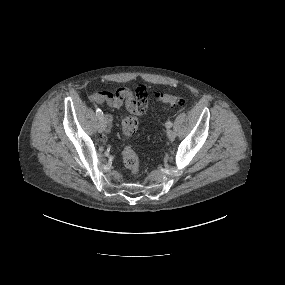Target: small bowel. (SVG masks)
<instances>
[{"instance_id":"1","label":"small bowel","mask_w":285,"mask_h":285,"mask_svg":"<svg viewBox=\"0 0 285 285\" xmlns=\"http://www.w3.org/2000/svg\"><path fill=\"white\" fill-rule=\"evenodd\" d=\"M89 100L95 104H106L114 108L125 105L130 113L137 116L143 115L148 108V93L145 86L143 94L140 96L136 94V91L128 88H119L114 92L96 91L89 96ZM104 118L109 130L112 126L113 118L109 114H106ZM104 139H106L105 136Z\"/></svg>"}]
</instances>
